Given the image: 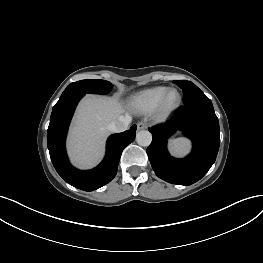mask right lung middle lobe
<instances>
[{
    "instance_id": "dd1d6c3e",
    "label": "right lung middle lobe",
    "mask_w": 263,
    "mask_h": 263,
    "mask_svg": "<svg viewBox=\"0 0 263 263\" xmlns=\"http://www.w3.org/2000/svg\"><path fill=\"white\" fill-rule=\"evenodd\" d=\"M112 87L113 85L106 80H81L68 85L60 99L75 93L107 94Z\"/></svg>"
}]
</instances>
